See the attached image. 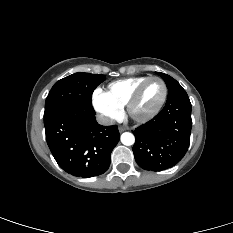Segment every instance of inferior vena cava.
Here are the masks:
<instances>
[{
    "label": "inferior vena cava",
    "instance_id": "1",
    "mask_svg": "<svg viewBox=\"0 0 233 233\" xmlns=\"http://www.w3.org/2000/svg\"><path fill=\"white\" fill-rule=\"evenodd\" d=\"M96 119L99 124H102L105 126L112 125L114 122L112 118L102 115V114L97 115Z\"/></svg>",
    "mask_w": 233,
    "mask_h": 233
}]
</instances>
